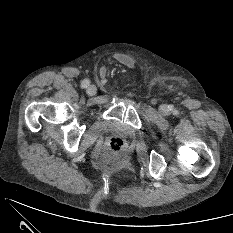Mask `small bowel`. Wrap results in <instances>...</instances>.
Wrapping results in <instances>:
<instances>
[{
    "label": "small bowel",
    "instance_id": "obj_1",
    "mask_svg": "<svg viewBox=\"0 0 233 233\" xmlns=\"http://www.w3.org/2000/svg\"><path fill=\"white\" fill-rule=\"evenodd\" d=\"M114 58L127 67H132L134 65L133 59L124 53H117L114 55Z\"/></svg>",
    "mask_w": 233,
    "mask_h": 233
}]
</instances>
